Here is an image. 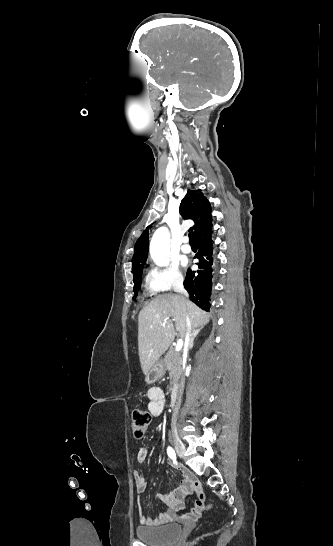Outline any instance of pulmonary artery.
<instances>
[{"mask_svg":"<svg viewBox=\"0 0 333 546\" xmlns=\"http://www.w3.org/2000/svg\"><path fill=\"white\" fill-rule=\"evenodd\" d=\"M180 249H181V251H182L183 253H185V254H188V253L191 252V247H190V245L187 243V239H185V240L183 241V244L181 245V248H180Z\"/></svg>","mask_w":333,"mask_h":546,"instance_id":"pulmonary-artery-1","label":"pulmonary artery"}]
</instances>
